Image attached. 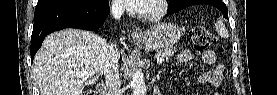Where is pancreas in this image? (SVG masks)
<instances>
[{
  "label": "pancreas",
  "mask_w": 277,
  "mask_h": 95,
  "mask_svg": "<svg viewBox=\"0 0 277 95\" xmlns=\"http://www.w3.org/2000/svg\"><path fill=\"white\" fill-rule=\"evenodd\" d=\"M175 51L174 47H166L158 52V56L168 59L174 55Z\"/></svg>",
  "instance_id": "1"
}]
</instances>
